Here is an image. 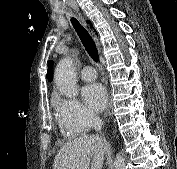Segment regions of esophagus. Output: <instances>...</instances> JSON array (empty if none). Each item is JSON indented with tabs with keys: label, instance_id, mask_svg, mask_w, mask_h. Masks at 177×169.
Masks as SVG:
<instances>
[{
	"label": "esophagus",
	"instance_id": "obj_1",
	"mask_svg": "<svg viewBox=\"0 0 177 169\" xmlns=\"http://www.w3.org/2000/svg\"><path fill=\"white\" fill-rule=\"evenodd\" d=\"M74 10L78 12V7L75 6V7H74ZM79 20H80L84 25H86L85 19H84L80 14H79Z\"/></svg>",
	"mask_w": 177,
	"mask_h": 169
}]
</instances>
